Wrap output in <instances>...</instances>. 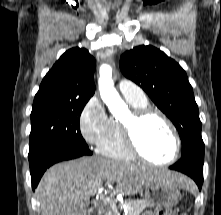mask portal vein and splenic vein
Instances as JSON below:
<instances>
[{
  "mask_svg": "<svg viewBox=\"0 0 221 215\" xmlns=\"http://www.w3.org/2000/svg\"><path fill=\"white\" fill-rule=\"evenodd\" d=\"M102 191V189H98V190H94L93 192H97V193H100Z\"/></svg>",
  "mask_w": 221,
  "mask_h": 215,
  "instance_id": "1",
  "label": "portal vein and splenic vein"
}]
</instances>
